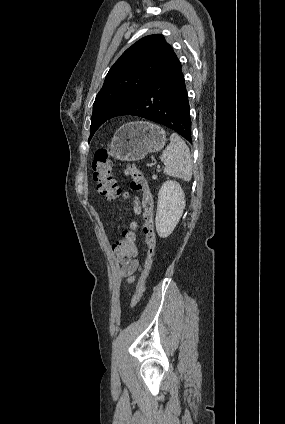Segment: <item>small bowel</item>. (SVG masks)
Wrapping results in <instances>:
<instances>
[{
  "mask_svg": "<svg viewBox=\"0 0 285 424\" xmlns=\"http://www.w3.org/2000/svg\"><path fill=\"white\" fill-rule=\"evenodd\" d=\"M133 210H134V213L137 215L141 213V206H140L138 198H134L133 200ZM129 226L132 230H135L137 228V224L135 222H130ZM130 233H132L134 238H136V235L134 232L130 231ZM138 253H139V249L135 247V254L132 258L128 260H120L121 275L128 284H132L135 281L137 274L141 270L139 261L136 258Z\"/></svg>",
  "mask_w": 285,
  "mask_h": 424,
  "instance_id": "obj_1",
  "label": "small bowel"
}]
</instances>
